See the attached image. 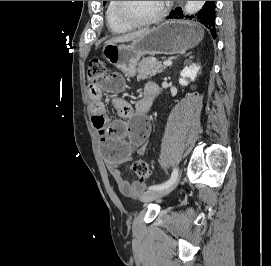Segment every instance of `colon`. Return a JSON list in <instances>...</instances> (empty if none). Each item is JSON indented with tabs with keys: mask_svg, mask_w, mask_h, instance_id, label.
Here are the masks:
<instances>
[{
	"mask_svg": "<svg viewBox=\"0 0 271 266\" xmlns=\"http://www.w3.org/2000/svg\"><path fill=\"white\" fill-rule=\"evenodd\" d=\"M105 65L99 58H93L89 62L87 77L90 81L96 80L104 75ZM131 170L140 181H145L150 176V170L145 161L137 160L131 164Z\"/></svg>",
	"mask_w": 271,
	"mask_h": 266,
	"instance_id": "colon-1",
	"label": "colon"
}]
</instances>
